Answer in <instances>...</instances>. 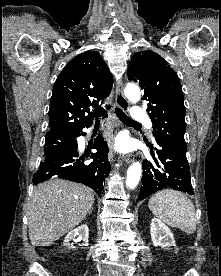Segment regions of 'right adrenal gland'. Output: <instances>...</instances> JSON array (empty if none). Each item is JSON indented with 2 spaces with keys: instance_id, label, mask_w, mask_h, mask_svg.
<instances>
[{
  "instance_id": "1",
  "label": "right adrenal gland",
  "mask_w": 221,
  "mask_h": 276,
  "mask_svg": "<svg viewBox=\"0 0 221 276\" xmlns=\"http://www.w3.org/2000/svg\"><path fill=\"white\" fill-rule=\"evenodd\" d=\"M92 210H93V208H92V209H90V211H89L88 213H89V214H90V213H92Z\"/></svg>"
}]
</instances>
